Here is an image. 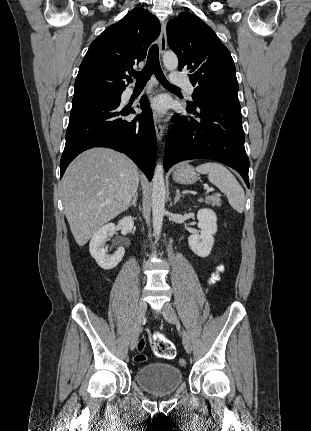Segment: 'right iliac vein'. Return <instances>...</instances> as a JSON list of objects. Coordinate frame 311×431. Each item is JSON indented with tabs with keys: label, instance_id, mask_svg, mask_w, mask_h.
<instances>
[{
	"label": "right iliac vein",
	"instance_id": "1",
	"mask_svg": "<svg viewBox=\"0 0 311 431\" xmlns=\"http://www.w3.org/2000/svg\"><path fill=\"white\" fill-rule=\"evenodd\" d=\"M146 310H147L146 302L143 299H140L138 304H137L136 319H135V323H134V326L132 328L131 336H130V349L131 350H133L136 347L139 333H140V329H141V324H142L144 315L146 313Z\"/></svg>",
	"mask_w": 311,
	"mask_h": 431
}]
</instances>
